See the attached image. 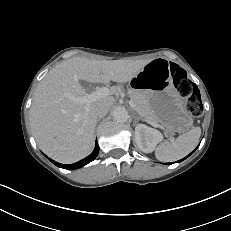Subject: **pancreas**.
<instances>
[{
    "label": "pancreas",
    "instance_id": "obj_1",
    "mask_svg": "<svg viewBox=\"0 0 231 231\" xmlns=\"http://www.w3.org/2000/svg\"><path fill=\"white\" fill-rule=\"evenodd\" d=\"M131 101L136 105L139 114L145 118L146 121H152L157 123V116L152 110L149 102L139 92L130 91Z\"/></svg>",
    "mask_w": 231,
    "mask_h": 231
}]
</instances>
